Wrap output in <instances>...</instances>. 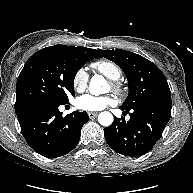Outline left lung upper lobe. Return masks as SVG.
Segmentation results:
<instances>
[{"mask_svg": "<svg viewBox=\"0 0 193 193\" xmlns=\"http://www.w3.org/2000/svg\"><path fill=\"white\" fill-rule=\"evenodd\" d=\"M99 52L101 57L115 62L127 77L129 94L121 108L131 110L163 94L171 93L164 74L146 58L121 49Z\"/></svg>", "mask_w": 193, "mask_h": 193, "instance_id": "1", "label": "left lung upper lobe"}]
</instances>
